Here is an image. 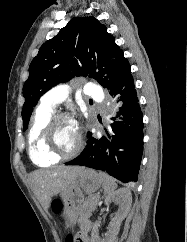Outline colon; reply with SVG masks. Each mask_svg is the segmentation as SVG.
Wrapping results in <instances>:
<instances>
[{"label":"colon","mask_w":187,"mask_h":242,"mask_svg":"<svg viewBox=\"0 0 187 242\" xmlns=\"http://www.w3.org/2000/svg\"><path fill=\"white\" fill-rule=\"evenodd\" d=\"M53 211L55 213H59L62 209V204L60 201L55 200L52 204ZM66 242H78L77 238L74 237L73 235H68L66 238Z\"/></svg>","instance_id":"obj_1"}]
</instances>
